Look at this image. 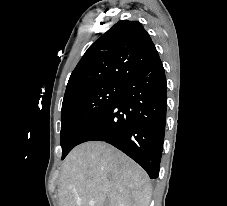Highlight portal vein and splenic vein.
I'll return each mask as SVG.
<instances>
[{
  "label": "portal vein and splenic vein",
  "instance_id": "18ae733b",
  "mask_svg": "<svg viewBox=\"0 0 227 206\" xmlns=\"http://www.w3.org/2000/svg\"><path fill=\"white\" fill-rule=\"evenodd\" d=\"M90 206H94V202H90Z\"/></svg>",
  "mask_w": 227,
  "mask_h": 206
}]
</instances>
